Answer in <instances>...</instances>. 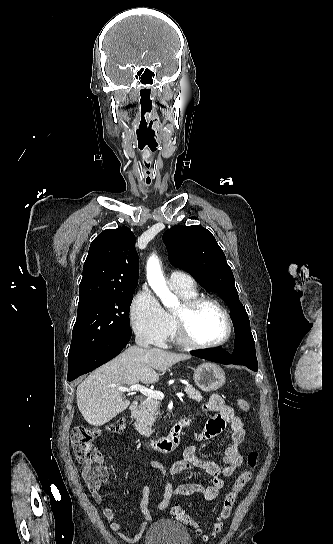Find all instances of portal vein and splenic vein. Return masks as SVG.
<instances>
[{
  "label": "portal vein and splenic vein",
  "mask_w": 333,
  "mask_h": 544,
  "mask_svg": "<svg viewBox=\"0 0 333 544\" xmlns=\"http://www.w3.org/2000/svg\"><path fill=\"white\" fill-rule=\"evenodd\" d=\"M117 389L120 390L121 392L139 391L145 396L150 398H155V399L164 398V394L162 392L148 389L145 386H142L140 384H134L130 386L129 388L124 386H118ZM176 396L179 398H182L184 397V393H177Z\"/></svg>",
  "instance_id": "1"
}]
</instances>
